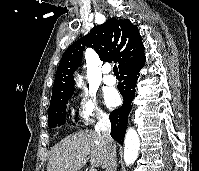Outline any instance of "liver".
<instances>
[{"instance_id": "1", "label": "liver", "mask_w": 199, "mask_h": 171, "mask_svg": "<svg viewBox=\"0 0 199 171\" xmlns=\"http://www.w3.org/2000/svg\"><path fill=\"white\" fill-rule=\"evenodd\" d=\"M88 157L93 167H104L108 160V147L96 131L81 130L54 148L47 171H78L84 167Z\"/></svg>"}]
</instances>
